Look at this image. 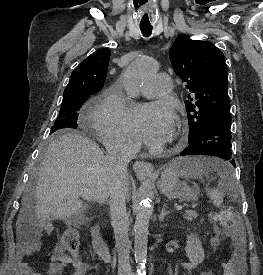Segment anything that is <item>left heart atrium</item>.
I'll use <instances>...</instances> for the list:
<instances>
[{
	"label": "left heart atrium",
	"mask_w": 263,
	"mask_h": 275,
	"mask_svg": "<svg viewBox=\"0 0 263 275\" xmlns=\"http://www.w3.org/2000/svg\"><path fill=\"white\" fill-rule=\"evenodd\" d=\"M134 124L141 139L151 146L164 143L174 127V115L164 102H154L138 106L134 114Z\"/></svg>",
	"instance_id": "1"
}]
</instances>
